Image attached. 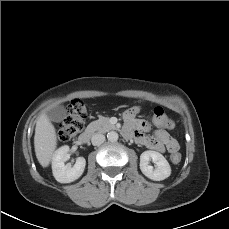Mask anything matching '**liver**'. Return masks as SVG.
I'll list each match as a JSON object with an SVG mask.
<instances>
[{
    "label": "liver",
    "instance_id": "1",
    "mask_svg": "<svg viewBox=\"0 0 229 229\" xmlns=\"http://www.w3.org/2000/svg\"><path fill=\"white\" fill-rule=\"evenodd\" d=\"M34 147L38 162L47 167L57 147L56 130L45 113L41 114L36 122Z\"/></svg>",
    "mask_w": 229,
    "mask_h": 229
}]
</instances>
